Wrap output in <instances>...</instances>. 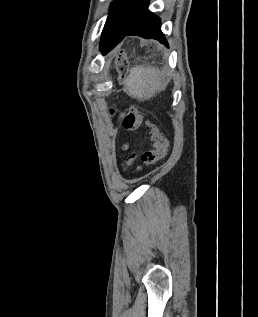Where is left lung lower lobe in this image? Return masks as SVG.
<instances>
[{"mask_svg":"<svg viewBox=\"0 0 258 317\" xmlns=\"http://www.w3.org/2000/svg\"><path fill=\"white\" fill-rule=\"evenodd\" d=\"M149 0H132L128 18L123 28L103 29L100 51L103 54L112 50L125 36L137 35L147 39H156L168 47L160 29L159 17L148 10Z\"/></svg>","mask_w":258,"mask_h":317,"instance_id":"0a47b994","label":"left lung lower lobe"}]
</instances>
